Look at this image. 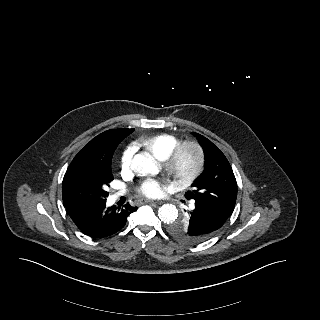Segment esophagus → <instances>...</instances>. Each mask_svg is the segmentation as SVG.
Returning a JSON list of instances; mask_svg holds the SVG:
<instances>
[{
  "label": "esophagus",
  "mask_w": 320,
  "mask_h": 320,
  "mask_svg": "<svg viewBox=\"0 0 320 320\" xmlns=\"http://www.w3.org/2000/svg\"><path fill=\"white\" fill-rule=\"evenodd\" d=\"M141 204H144V203H150V204H160V202L158 201H153V200H150V199H142L140 201Z\"/></svg>",
  "instance_id": "1"
}]
</instances>
